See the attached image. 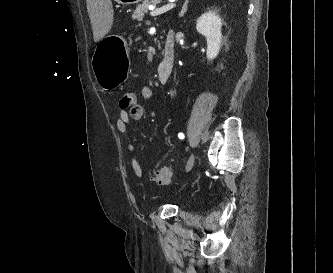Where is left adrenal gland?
I'll use <instances>...</instances> for the list:
<instances>
[{"label": "left adrenal gland", "instance_id": "a2214340", "mask_svg": "<svg viewBox=\"0 0 333 273\" xmlns=\"http://www.w3.org/2000/svg\"><path fill=\"white\" fill-rule=\"evenodd\" d=\"M188 3H189V0H185L184 4H183V7H182V10L181 12L179 13V17H183L184 14L186 13L187 11V7H188Z\"/></svg>", "mask_w": 333, "mask_h": 273}]
</instances>
